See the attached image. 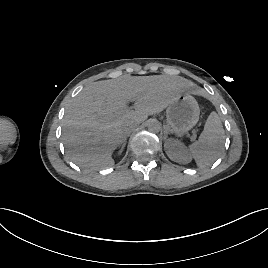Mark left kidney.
Instances as JSON below:
<instances>
[{"instance_id":"5707ae66","label":"left kidney","mask_w":268,"mask_h":268,"mask_svg":"<svg viewBox=\"0 0 268 268\" xmlns=\"http://www.w3.org/2000/svg\"><path fill=\"white\" fill-rule=\"evenodd\" d=\"M164 147L168 157L172 161L183 164H187L191 161L190 153L188 152L184 144L180 141L169 139L165 143Z\"/></svg>"}]
</instances>
